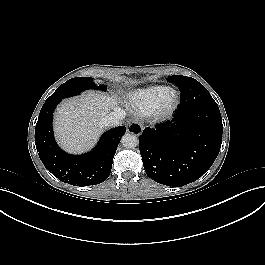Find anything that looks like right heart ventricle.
Instances as JSON below:
<instances>
[{
    "instance_id": "right-heart-ventricle-1",
    "label": "right heart ventricle",
    "mask_w": 265,
    "mask_h": 265,
    "mask_svg": "<svg viewBox=\"0 0 265 265\" xmlns=\"http://www.w3.org/2000/svg\"><path fill=\"white\" fill-rule=\"evenodd\" d=\"M170 91L167 86H152L131 95V102L136 112L141 116L152 113L157 103Z\"/></svg>"
}]
</instances>
